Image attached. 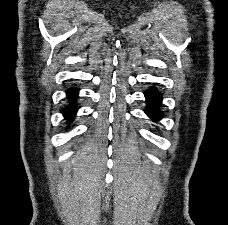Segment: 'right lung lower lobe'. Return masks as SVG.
Returning a JSON list of instances; mask_svg holds the SVG:
<instances>
[{
  "label": "right lung lower lobe",
  "mask_w": 228,
  "mask_h": 225,
  "mask_svg": "<svg viewBox=\"0 0 228 225\" xmlns=\"http://www.w3.org/2000/svg\"><path fill=\"white\" fill-rule=\"evenodd\" d=\"M67 95H68L69 99L71 100V102L73 103L74 100L77 98L78 90L75 88H71L67 91ZM76 111H77V107L75 105L71 104L70 106H67L63 110V114L66 119L72 120Z\"/></svg>",
  "instance_id": "98d812e1"
}]
</instances>
